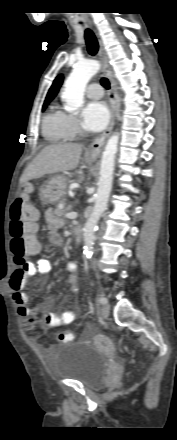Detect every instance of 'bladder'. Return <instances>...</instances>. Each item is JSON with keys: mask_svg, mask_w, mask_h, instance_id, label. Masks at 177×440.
<instances>
[{"mask_svg": "<svg viewBox=\"0 0 177 440\" xmlns=\"http://www.w3.org/2000/svg\"><path fill=\"white\" fill-rule=\"evenodd\" d=\"M107 354L93 346L69 342L59 348L51 372L55 378L69 379L95 389L104 383Z\"/></svg>", "mask_w": 177, "mask_h": 440, "instance_id": "obj_1", "label": "bladder"}]
</instances>
